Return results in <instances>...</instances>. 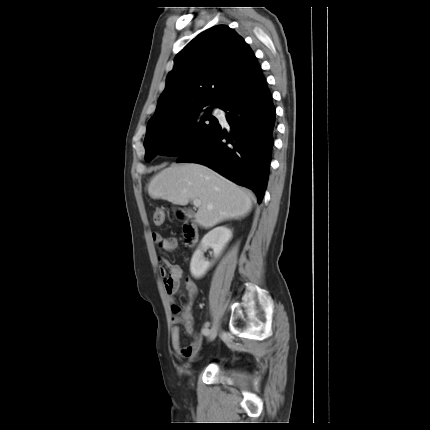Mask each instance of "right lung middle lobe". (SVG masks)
Returning <instances> with one entry per match:
<instances>
[{
	"label": "right lung middle lobe",
	"mask_w": 430,
	"mask_h": 430,
	"mask_svg": "<svg viewBox=\"0 0 430 430\" xmlns=\"http://www.w3.org/2000/svg\"><path fill=\"white\" fill-rule=\"evenodd\" d=\"M206 106L187 110L147 127L145 160L149 162L155 153L180 157L196 150L219 125L218 120L209 115L214 105L205 109Z\"/></svg>",
	"instance_id": "1"
}]
</instances>
